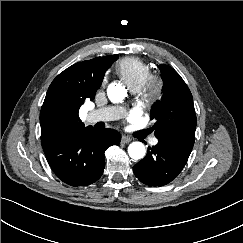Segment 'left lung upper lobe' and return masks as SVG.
<instances>
[{
	"instance_id": "5c2ea615",
	"label": "left lung upper lobe",
	"mask_w": 243,
	"mask_h": 243,
	"mask_svg": "<svg viewBox=\"0 0 243 243\" xmlns=\"http://www.w3.org/2000/svg\"><path fill=\"white\" fill-rule=\"evenodd\" d=\"M164 81L162 98L151 109L152 127L159 141L191 153L196 130V115L192 94L181 76L170 66L162 65Z\"/></svg>"
}]
</instances>
